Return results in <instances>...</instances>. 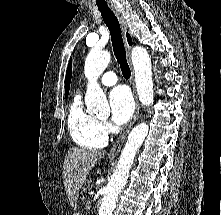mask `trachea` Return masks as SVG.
I'll return each mask as SVG.
<instances>
[{
	"label": "trachea",
	"instance_id": "trachea-1",
	"mask_svg": "<svg viewBox=\"0 0 221 215\" xmlns=\"http://www.w3.org/2000/svg\"><path fill=\"white\" fill-rule=\"evenodd\" d=\"M97 7L101 12L103 21L110 31L114 55L117 59V62L120 64L122 74L126 79H128L131 76V71L126 59V51L122 39L119 21L106 3H97Z\"/></svg>",
	"mask_w": 221,
	"mask_h": 215
}]
</instances>
